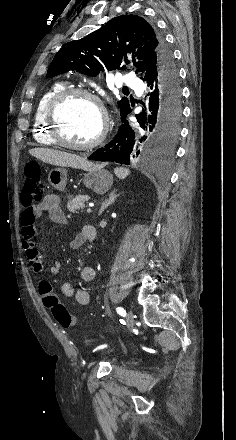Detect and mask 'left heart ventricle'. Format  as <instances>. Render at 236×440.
<instances>
[{"instance_id": "obj_1", "label": "left heart ventricle", "mask_w": 236, "mask_h": 440, "mask_svg": "<svg viewBox=\"0 0 236 440\" xmlns=\"http://www.w3.org/2000/svg\"><path fill=\"white\" fill-rule=\"evenodd\" d=\"M57 116L62 136L69 142L84 144L93 140L101 127V116L96 105L85 98L74 96L59 108Z\"/></svg>"}]
</instances>
